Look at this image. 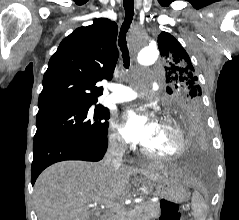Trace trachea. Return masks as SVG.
<instances>
[{
	"instance_id": "3493384b",
	"label": "trachea",
	"mask_w": 239,
	"mask_h": 220,
	"mask_svg": "<svg viewBox=\"0 0 239 220\" xmlns=\"http://www.w3.org/2000/svg\"><path fill=\"white\" fill-rule=\"evenodd\" d=\"M123 6L125 9V19L119 33L118 44H119L120 50L122 51L124 67L128 69L130 65V57H129V51H128V47L126 43V33L128 29L130 28V24L134 16V0H124Z\"/></svg>"
}]
</instances>
